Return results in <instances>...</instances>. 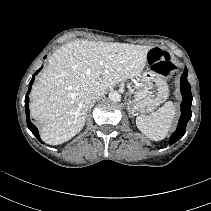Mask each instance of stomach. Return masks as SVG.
Here are the masks:
<instances>
[{
	"mask_svg": "<svg viewBox=\"0 0 211 211\" xmlns=\"http://www.w3.org/2000/svg\"><path fill=\"white\" fill-rule=\"evenodd\" d=\"M142 84L135 91L133 109L149 113L165 102L169 96L168 84L164 76L150 66L139 75Z\"/></svg>",
	"mask_w": 211,
	"mask_h": 211,
	"instance_id": "0dacf381",
	"label": "stomach"
}]
</instances>
